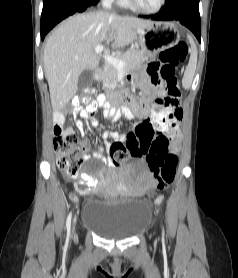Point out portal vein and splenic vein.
Here are the masks:
<instances>
[{
	"instance_id": "18ae733b",
	"label": "portal vein and splenic vein",
	"mask_w": 238,
	"mask_h": 278,
	"mask_svg": "<svg viewBox=\"0 0 238 278\" xmlns=\"http://www.w3.org/2000/svg\"><path fill=\"white\" fill-rule=\"evenodd\" d=\"M104 50L103 45H98L95 47V52L97 54L101 53ZM105 61L114 67H116L118 70H122L124 68L125 63L123 61L118 60L117 58L110 56L109 54L105 53L103 55Z\"/></svg>"
}]
</instances>
